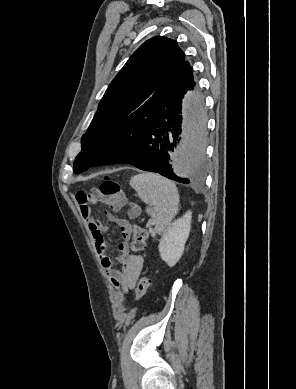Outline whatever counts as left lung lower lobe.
I'll use <instances>...</instances> for the list:
<instances>
[{
    "mask_svg": "<svg viewBox=\"0 0 296 389\" xmlns=\"http://www.w3.org/2000/svg\"><path fill=\"white\" fill-rule=\"evenodd\" d=\"M184 96L190 100L192 123L188 127L192 168L190 178L199 176L204 159L203 101L192 72L177 75L163 83L151 102L131 113L113 129L97 148L98 166L131 164L145 171L182 182L187 178L173 174L170 153L180 139Z\"/></svg>",
    "mask_w": 296,
    "mask_h": 389,
    "instance_id": "obj_1",
    "label": "left lung lower lobe"
}]
</instances>
